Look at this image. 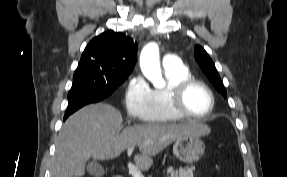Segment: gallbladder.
<instances>
[{
  "instance_id": "bac80fb5",
  "label": "gallbladder",
  "mask_w": 287,
  "mask_h": 177,
  "mask_svg": "<svg viewBox=\"0 0 287 177\" xmlns=\"http://www.w3.org/2000/svg\"><path fill=\"white\" fill-rule=\"evenodd\" d=\"M87 171L90 175L96 176V177H98L104 173L103 167L96 161H91L87 165Z\"/></svg>"
}]
</instances>
